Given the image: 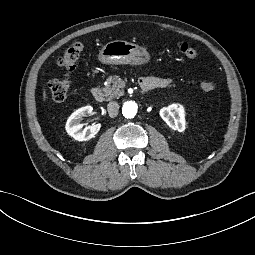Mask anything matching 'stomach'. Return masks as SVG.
<instances>
[{
	"instance_id": "1",
	"label": "stomach",
	"mask_w": 255,
	"mask_h": 255,
	"mask_svg": "<svg viewBox=\"0 0 255 255\" xmlns=\"http://www.w3.org/2000/svg\"><path fill=\"white\" fill-rule=\"evenodd\" d=\"M97 61L107 65H143L151 61V54L146 48L137 44L114 40L98 51Z\"/></svg>"
}]
</instances>
